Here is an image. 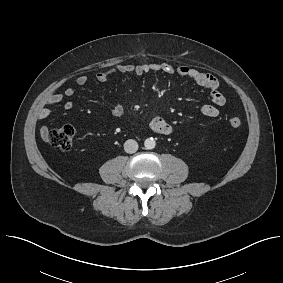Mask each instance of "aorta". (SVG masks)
<instances>
[{"mask_svg":"<svg viewBox=\"0 0 283 283\" xmlns=\"http://www.w3.org/2000/svg\"><path fill=\"white\" fill-rule=\"evenodd\" d=\"M156 142L153 138H148L144 142V146L146 149H153L155 148Z\"/></svg>","mask_w":283,"mask_h":283,"instance_id":"1","label":"aorta"}]
</instances>
